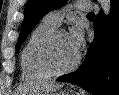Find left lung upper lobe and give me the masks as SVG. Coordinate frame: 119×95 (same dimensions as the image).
<instances>
[{"mask_svg":"<svg viewBox=\"0 0 119 95\" xmlns=\"http://www.w3.org/2000/svg\"><path fill=\"white\" fill-rule=\"evenodd\" d=\"M65 3L66 0H28L24 12L25 18L22 22L16 45V52H18L19 47L39 20L48 12L60 8Z\"/></svg>","mask_w":119,"mask_h":95,"instance_id":"5c2ea615","label":"left lung upper lobe"}]
</instances>
